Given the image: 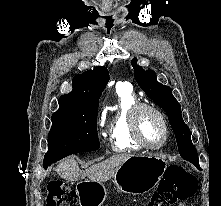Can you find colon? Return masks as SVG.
I'll return each mask as SVG.
<instances>
[{"instance_id": "colon-1", "label": "colon", "mask_w": 221, "mask_h": 206, "mask_svg": "<svg viewBox=\"0 0 221 206\" xmlns=\"http://www.w3.org/2000/svg\"><path fill=\"white\" fill-rule=\"evenodd\" d=\"M197 181L193 174L181 166H170L164 182L146 206H173L193 196ZM47 206H77L76 192L64 181H53L48 186Z\"/></svg>"}]
</instances>
